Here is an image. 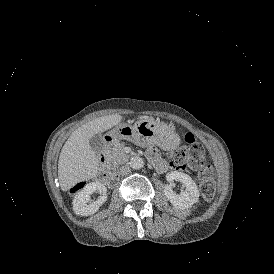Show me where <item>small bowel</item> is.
Segmentation results:
<instances>
[{
  "label": "small bowel",
  "mask_w": 274,
  "mask_h": 274,
  "mask_svg": "<svg viewBox=\"0 0 274 274\" xmlns=\"http://www.w3.org/2000/svg\"><path fill=\"white\" fill-rule=\"evenodd\" d=\"M147 157L149 162L156 168L155 164L161 160L158 154V150L156 148H150L147 152ZM159 172V171H158Z\"/></svg>",
  "instance_id": "obj_1"
}]
</instances>
